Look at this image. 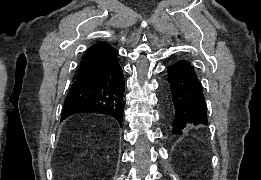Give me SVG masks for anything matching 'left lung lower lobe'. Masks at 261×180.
<instances>
[{
    "instance_id": "obj_1",
    "label": "left lung lower lobe",
    "mask_w": 261,
    "mask_h": 180,
    "mask_svg": "<svg viewBox=\"0 0 261 180\" xmlns=\"http://www.w3.org/2000/svg\"><path fill=\"white\" fill-rule=\"evenodd\" d=\"M167 72L172 99V134L182 135L189 129L206 126L207 106L193 66L179 60L170 65Z\"/></svg>"
}]
</instances>
